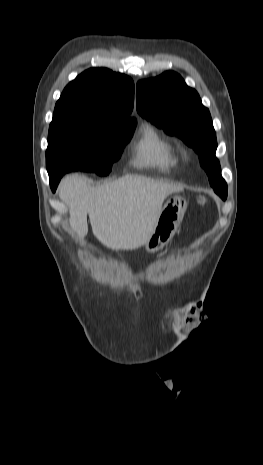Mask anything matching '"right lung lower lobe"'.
Segmentation results:
<instances>
[{
	"label": "right lung lower lobe",
	"instance_id": "right-lung-lower-lobe-1",
	"mask_svg": "<svg viewBox=\"0 0 263 465\" xmlns=\"http://www.w3.org/2000/svg\"><path fill=\"white\" fill-rule=\"evenodd\" d=\"M61 176L62 175H56V176H53V175H50V185H51V188L53 191H55L60 179H61Z\"/></svg>",
	"mask_w": 263,
	"mask_h": 465
}]
</instances>
